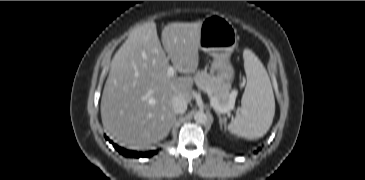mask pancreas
Returning <instances> with one entry per match:
<instances>
[{"label":"pancreas","instance_id":"cf45deb5","mask_svg":"<svg viewBox=\"0 0 365 180\" xmlns=\"http://www.w3.org/2000/svg\"><path fill=\"white\" fill-rule=\"evenodd\" d=\"M194 81L199 89L216 98L220 106H234V101L230 99L229 86L218 78L211 76L206 71H199L195 74Z\"/></svg>","mask_w":365,"mask_h":180}]
</instances>
